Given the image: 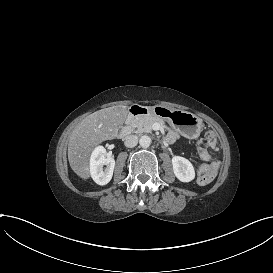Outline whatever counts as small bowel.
<instances>
[{"label":"small bowel","instance_id":"obj_1","mask_svg":"<svg viewBox=\"0 0 273 273\" xmlns=\"http://www.w3.org/2000/svg\"><path fill=\"white\" fill-rule=\"evenodd\" d=\"M206 144L208 146H211V150L213 152H216L218 150L217 141L215 140L214 134L211 131H208L206 133ZM198 154L207 160L211 157V152L209 150H205L204 148H201L198 151Z\"/></svg>","mask_w":273,"mask_h":273}]
</instances>
